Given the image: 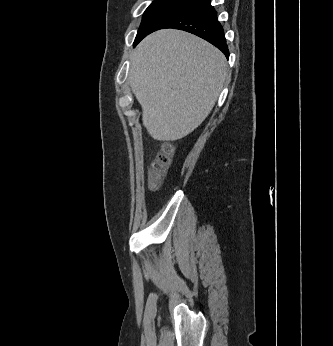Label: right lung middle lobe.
Returning <instances> with one entry per match:
<instances>
[{
	"label": "right lung middle lobe",
	"mask_w": 333,
	"mask_h": 346,
	"mask_svg": "<svg viewBox=\"0 0 333 346\" xmlns=\"http://www.w3.org/2000/svg\"><path fill=\"white\" fill-rule=\"evenodd\" d=\"M188 0H154L146 9L134 46L153 31L163 28Z\"/></svg>",
	"instance_id": "obj_1"
}]
</instances>
